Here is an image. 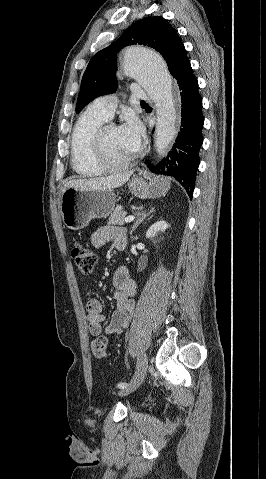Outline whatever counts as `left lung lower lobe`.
<instances>
[{"instance_id":"0a47b994","label":"left lung lower lobe","mask_w":266,"mask_h":479,"mask_svg":"<svg viewBox=\"0 0 266 479\" xmlns=\"http://www.w3.org/2000/svg\"><path fill=\"white\" fill-rule=\"evenodd\" d=\"M181 91L182 119L180 132L171 151L152 172L176 179L193 196L196 171L199 166V150L203 143L202 98L198 92V81L187 61L174 77Z\"/></svg>"}]
</instances>
